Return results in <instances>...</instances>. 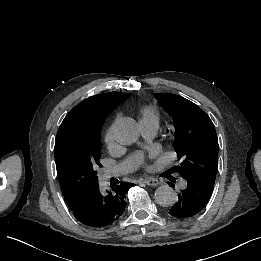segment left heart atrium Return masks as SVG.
I'll use <instances>...</instances> for the list:
<instances>
[{"instance_id":"1","label":"left heart atrium","mask_w":261,"mask_h":261,"mask_svg":"<svg viewBox=\"0 0 261 261\" xmlns=\"http://www.w3.org/2000/svg\"><path fill=\"white\" fill-rule=\"evenodd\" d=\"M139 165H140V166H143V167H145V168H147V169H149V170H151V169L154 168L152 165H149V164L147 163V161H145L144 159H142V160L139 161Z\"/></svg>"}]
</instances>
